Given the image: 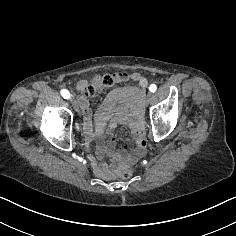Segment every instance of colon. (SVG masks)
<instances>
[{"instance_id": "5ec220e1", "label": "colon", "mask_w": 236, "mask_h": 236, "mask_svg": "<svg viewBox=\"0 0 236 236\" xmlns=\"http://www.w3.org/2000/svg\"><path fill=\"white\" fill-rule=\"evenodd\" d=\"M113 76L105 75L99 79H96L94 82L86 85L82 91V94L87 97L94 96L98 89H108L113 85ZM133 176V171L131 169H122L118 173V178L121 180H128Z\"/></svg>"}]
</instances>
